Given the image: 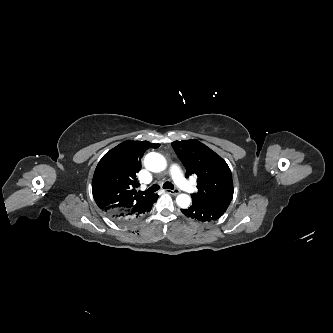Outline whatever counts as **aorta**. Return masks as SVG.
<instances>
[{
	"mask_svg": "<svg viewBox=\"0 0 333 333\" xmlns=\"http://www.w3.org/2000/svg\"><path fill=\"white\" fill-rule=\"evenodd\" d=\"M145 167L152 172H161L166 168L165 158L158 153L151 152L145 156ZM177 205L181 208L189 207L191 198L187 194H180L176 198Z\"/></svg>",
	"mask_w": 333,
	"mask_h": 333,
	"instance_id": "obj_1",
	"label": "aorta"
}]
</instances>
